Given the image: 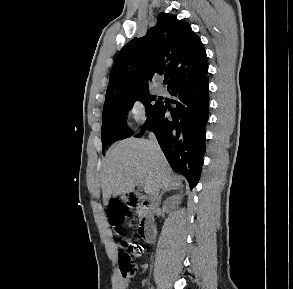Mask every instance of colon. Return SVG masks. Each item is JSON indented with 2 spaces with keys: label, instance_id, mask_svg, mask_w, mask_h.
<instances>
[{
  "label": "colon",
  "instance_id": "5ec220e1",
  "mask_svg": "<svg viewBox=\"0 0 293 289\" xmlns=\"http://www.w3.org/2000/svg\"><path fill=\"white\" fill-rule=\"evenodd\" d=\"M127 214V210L120 203H115L111 206L108 213L110 222L116 227L120 228L124 216ZM123 251L119 253V263L123 276H133L137 272V266L132 261L131 256L139 257L145 252V246L137 241H131L124 239L121 242Z\"/></svg>",
  "mask_w": 293,
  "mask_h": 289
}]
</instances>
